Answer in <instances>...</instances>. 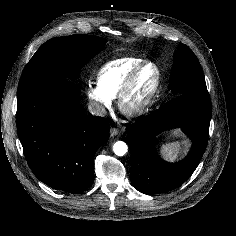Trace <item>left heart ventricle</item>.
Segmentation results:
<instances>
[{"label": "left heart ventricle", "mask_w": 236, "mask_h": 236, "mask_svg": "<svg viewBox=\"0 0 236 236\" xmlns=\"http://www.w3.org/2000/svg\"><path fill=\"white\" fill-rule=\"evenodd\" d=\"M157 72L154 67H145L137 76L133 89L126 100V108L133 109L147 98L156 82Z\"/></svg>", "instance_id": "1"}]
</instances>
